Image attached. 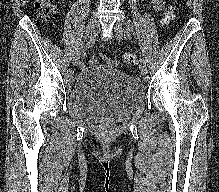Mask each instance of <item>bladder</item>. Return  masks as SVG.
<instances>
[{
    "instance_id": "obj_1",
    "label": "bladder",
    "mask_w": 219,
    "mask_h": 192,
    "mask_svg": "<svg viewBox=\"0 0 219 192\" xmlns=\"http://www.w3.org/2000/svg\"><path fill=\"white\" fill-rule=\"evenodd\" d=\"M145 100L142 83L107 64L94 63L74 80L67 101L94 122H121Z\"/></svg>"
}]
</instances>
